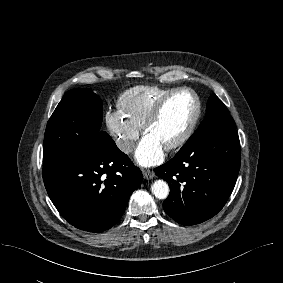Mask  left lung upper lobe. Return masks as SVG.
Returning a JSON list of instances; mask_svg holds the SVG:
<instances>
[{
	"instance_id": "obj_1",
	"label": "left lung upper lobe",
	"mask_w": 283,
	"mask_h": 283,
	"mask_svg": "<svg viewBox=\"0 0 283 283\" xmlns=\"http://www.w3.org/2000/svg\"><path fill=\"white\" fill-rule=\"evenodd\" d=\"M229 130H236V124L223 102L212 94L208 99L204 120L187 142Z\"/></svg>"
}]
</instances>
